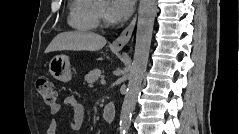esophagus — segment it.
<instances>
[{
  "label": "esophagus",
  "mask_w": 239,
  "mask_h": 134,
  "mask_svg": "<svg viewBox=\"0 0 239 134\" xmlns=\"http://www.w3.org/2000/svg\"><path fill=\"white\" fill-rule=\"evenodd\" d=\"M137 15L133 17L129 25L122 31V33L113 41L112 47L122 49L130 40L135 24Z\"/></svg>",
  "instance_id": "obj_1"
}]
</instances>
